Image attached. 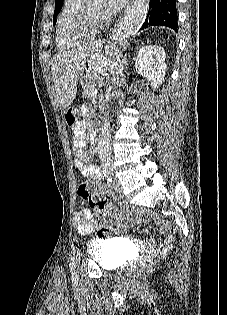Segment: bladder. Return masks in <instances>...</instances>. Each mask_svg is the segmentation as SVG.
Returning <instances> with one entry per match:
<instances>
[{"mask_svg": "<svg viewBox=\"0 0 227 315\" xmlns=\"http://www.w3.org/2000/svg\"><path fill=\"white\" fill-rule=\"evenodd\" d=\"M87 254L100 268L113 270L124 265L127 248L116 239L95 238L88 242Z\"/></svg>", "mask_w": 227, "mask_h": 315, "instance_id": "bladder-1", "label": "bladder"}]
</instances>
